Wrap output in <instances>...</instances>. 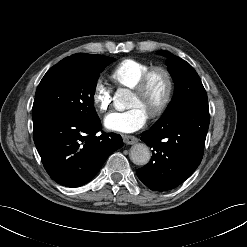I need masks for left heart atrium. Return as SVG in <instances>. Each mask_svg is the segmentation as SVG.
Listing matches in <instances>:
<instances>
[{
    "label": "left heart atrium",
    "mask_w": 247,
    "mask_h": 247,
    "mask_svg": "<svg viewBox=\"0 0 247 247\" xmlns=\"http://www.w3.org/2000/svg\"><path fill=\"white\" fill-rule=\"evenodd\" d=\"M149 115L140 106L131 107L128 110L114 111L108 114L104 120L105 127L120 133H132L142 128Z\"/></svg>",
    "instance_id": "1"
}]
</instances>
